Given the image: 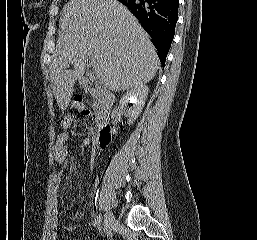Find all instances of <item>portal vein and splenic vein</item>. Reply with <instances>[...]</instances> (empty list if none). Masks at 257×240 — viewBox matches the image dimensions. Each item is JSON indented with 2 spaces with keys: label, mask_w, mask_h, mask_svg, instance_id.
<instances>
[{
  "label": "portal vein and splenic vein",
  "mask_w": 257,
  "mask_h": 240,
  "mask_svg": "<svg viewBox=\"0 0 257 240\" xmlns=\"http://www.w3.org/2000/svg\"><path fill=\"white\" fill-rule=\"evenodd\" d=\"M90 65L93 67L95 76L97 78L100 77L99 72H100V65L99 63L95 60V58H90Z\"/></svg>",
  "instance_id": "portal-vein-and-splenic-vein-1"
}]
</instances>
